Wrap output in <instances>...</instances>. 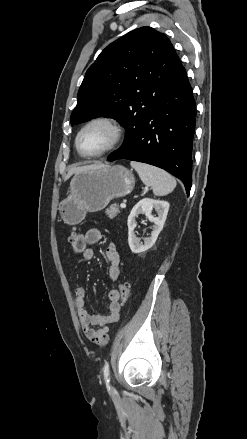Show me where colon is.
I'll return each instance as SVG.
<instances>
[{
    "mask_svg": "<svg viewBox=\"0 0 247 439\" xmlns=\"http://www.w3.org/2000/svg\"><path fill=\"white\" fill-rule=\"evenodd\" d=\"M71 243L73 251L77 254H81L86 249V243L83 234L79 232H73L71 235ZM120 303L125 304L130 294V282L128 280L123 281L119 285Z\"/></svg>",
    "mask_w": 247,
    "mask_h": 439,
    "instance_id": "5ec220e1",
    "label": "colon"
}]
</instances>
